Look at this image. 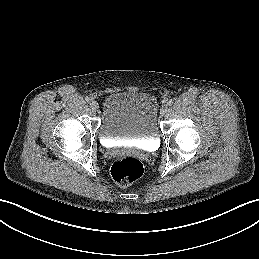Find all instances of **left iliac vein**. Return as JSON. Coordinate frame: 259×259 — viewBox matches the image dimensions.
<instances>
[{
    "label": "left iliac vein",
    "instance_id": "1",
    "mask_svg": "<svg viewBox=\"0 0 259 259\" xmlns=\"http://www.w3.org/2000/svg\"><path fill=\"white\" fill-rule=\"evenodd\" d=\"M167 112H168L167 106H163V107L161 108V110H160V114H161L162 116H166Z\"/></svg>",
    "mask_w": 259,
    "mask_h": 259
}]
</instances>
